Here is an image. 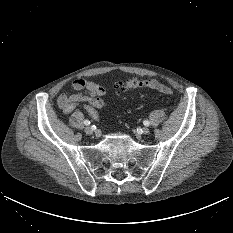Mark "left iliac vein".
Listing matches in <instances>:
<instances>
[{"instance_id":"1","label":"left iliac vein","mask_w":233,"mask_h":233,"mask_svg":"<svg viewBox=\"0 0 233 233\" xmlns=\"http://www.w3.org/2000/svg\"><path fill=\"white\" fill-rule=\"evenodd\" d=\"M142 133H143V134H148V133H149V129H148L147 127H144V128L142 129Z\"/></svg>"}]
</instances>
